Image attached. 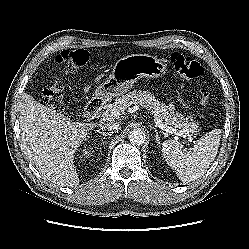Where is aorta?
<instances>
[{
  "label": "aorta",
  "instance_id": "obj_1",
  "mask_svg": "<svg viewBox=\"0 0 249 249\" xmlns=\"http://www.w3.org/2000/svg\"><path fill=\"white\" fill-rule=\"evenodd\" d=\"M128 139L133 145H142L145 142L146 134L141 128H134L129 132Z\"/></svg>",
  "mask_w": 249,
  "mask_h": 249
}]
</instances>
